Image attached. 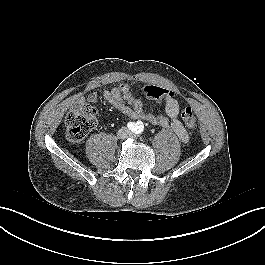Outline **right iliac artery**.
<instances>
[{"label": "right iliac artery", "mask_w": 265, "mask_h": 265, "mask_svg": "<svg viewBox=\"0 0 265 265\" xmlns=\"http://www.w3.org/2000/svg\"><path fill=\"white\" fill-rule=\"evenodd\" d=\"M127 127L129 128V130L135 132L137 130V123L128 122Z\"/></svg>", "instance_id": "82829eb1"}]
</instances>
